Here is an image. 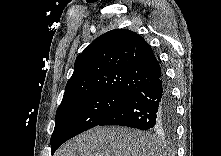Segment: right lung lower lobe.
Masks as SVG:
<instances>
[{
	"instance_id": "obj_1",
	"label": "right lung lower lobe",
	"mask_w": 221,
	"mask_h": 156,
	"mask_svg": "<svg viewBox=\"0 0 221 156\" xmlns=\"http://www.w3.org/2000/svg\"><path fill=\"white\" fill-rule=\"evenodd\" d=\"M104 125L172 132L176 125V113L165 76L161 74L130 96L99 124Z\"/></svg>"
}]
</instances>
